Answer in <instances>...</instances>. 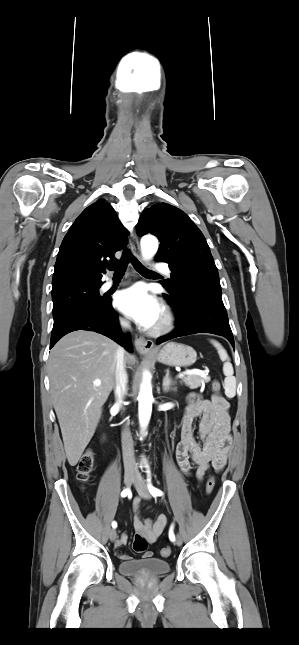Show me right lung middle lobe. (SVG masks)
Returning <instances> with one entry per match:
<instances>
[{
    "mask_svg": "<svg viewBox=\"0 0 299 645\" xmlns=\"http://www.w3.org/2000/svg\"><path fill=\"white\" fill-rule=\"evenodd\" d=\"M102 284H72L52 291L54 324L81 309L100 307L108 298L99 295Z\"/></svg>",
    "mask_w": 299,
    "mask_h": 645,
    "instance_id": "dd1d6c3e",
    "label": "right lung middle lobe"
}]
</instances>
